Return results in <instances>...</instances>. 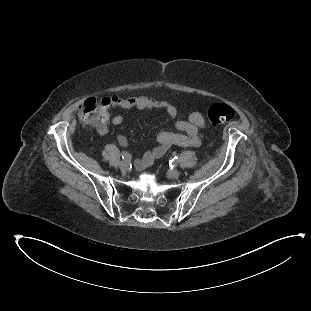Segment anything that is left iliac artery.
<instances>
[{
	"instance_id": "1",
	"label": "left iliac artery",
	"mask_w": 311,
	"mask_h": 311,
	"mask_svg": "<svg viewBox=\"0 0 311 311\" xmlns=\"http://www.w3.org/2000/svg\"><path fill=\"white\" fill-rule=\"evenodd\" d=\"M178 164V156H174L170 161L169 165L173 168L176 167Z\"/></svg>"
}]
</instances>
